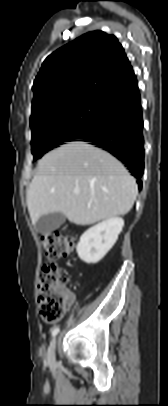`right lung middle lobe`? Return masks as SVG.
<instances>
[{"label": "right lung middle lobe", "mask_w": 168, "mask_h": 406, "mask_svg": "<svg viewBox=\"0 0 168 406\" xmlns=\"http://www.w3.org/2000/svg\"><path fill=\"white\" fill-rule=\"evenodd\" d=\"M104 116V100L89 99L55 111L34 123L32 130V154L34 160L58 147L73 141L94 127Z\"/></svg>", "instance_id": "1"}]
</instances>
